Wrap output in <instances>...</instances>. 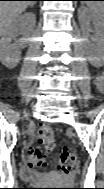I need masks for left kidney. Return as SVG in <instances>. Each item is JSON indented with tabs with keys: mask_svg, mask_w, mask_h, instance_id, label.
<instances>
[{
	"mask_svg": "<svg viewBox=\"0 0 104 189\" xmlns=\"http://www.w3.org/2000/svg\"><path fill=\"white\" fill-rule=\"evenodd\" d=\"M79 14V20L81 23V27L87 31H90L89 29V22L91 21L97 31L96 36V43L97 46L94 47V52H88L87 58L88 61L95 65V66H101L104 61V48H103V29H104V18H103V12L95 13L91 11L90 9H87L85 7H81L78 11Z\"/></svg>",
	"mask_w": 104,
	"mask_h": 189,
	"instance_id": "obj_1",
	"label": "left kidney"
}]
</instances>
